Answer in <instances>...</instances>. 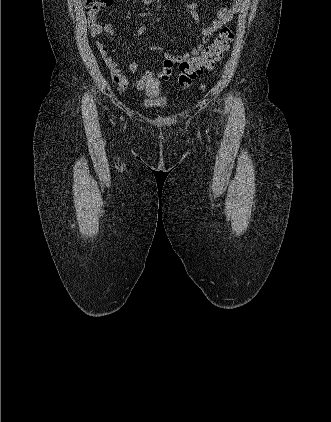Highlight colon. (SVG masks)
Here are the masks:
<instances>
[{"label": "colon", "instance_id": "obj_1", "mask_svg": "<svg viewBox=\"0 0 331 422\" xmlns=\"http://www.w3.org/2000/svg\"><path fill=\"white\" fill-rule=\"evenodd\" d=\"M112 2L113 0H85L89 19H96L99 11L102 8L110 7ZM233 38L234 33L232 29L230 27H223L218 37L199 57L182 62L179 66L178 74L179 87L182 89L188 88L204 69H213L223 59ZM141 80L144 83V91L147 95L155 97L159 94V80L152 72H145L141 76Z\"/></svg>", "mask_w": 331, "mask_h": 422}]
</instances>
